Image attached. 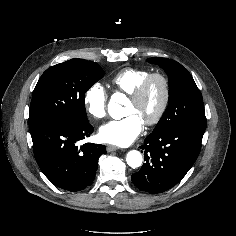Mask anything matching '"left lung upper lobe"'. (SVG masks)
I'll return each instance as SVG.
<instances>
[{
  "label": "left lung upper lobe",
  "mask_w": 236,
  "mask_h": 236,
  "mask_svg": "<svg viewBox=\"0 0 236 236\" xmlns=\"http://www.w3.org/2000/svg\"><path fill=\"white\" fill-rule=\"evenodd\" d=\"M169 76V104L153 132L185 126L206 129L202 95L190 73L178 62L161 57L147 59Z\"/></svg>",
  "instance_id": "left-lung-upper-lobe-1"
}]
</instances>
